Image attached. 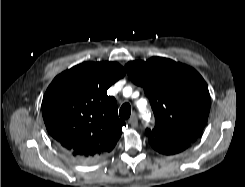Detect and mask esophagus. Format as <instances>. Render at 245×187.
<instances>
[{
  "mask_svg": "<svg viewBox=\"0 0 245 187\" xmlns=\"http://www.w3.org/2000/svg\"><path fill=\"white\" fill-rule=\"evenodd\" d=\"M128 123L133 127L136 128L138 126V119L136 116H132L130 117V119L128 120Z\"/></svg>",
  "mask_w": 245,
  "mask_h": 187,
  "instance_id": "34e87169",
  "label": "esophagus"
}]
</instances>
